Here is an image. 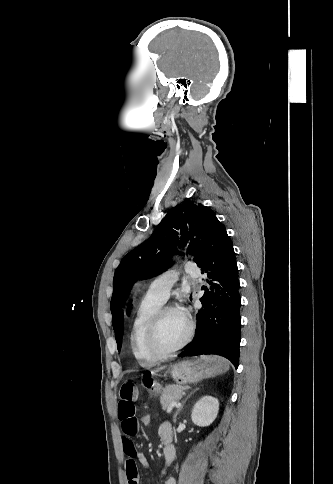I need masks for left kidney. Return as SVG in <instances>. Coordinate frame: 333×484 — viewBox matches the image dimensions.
I'll return each instance as SVG.
<instances>
[{"label":"left kidney","mask_w":333,"mask_h":484,"mask_svg":"<svg viewBox=\"0 0 333 484\" xmlns=\"http://www.w3.org/2000/svg\"><path fill=\"white\" fill-rule=\"evenodd\" d=\"M218 411V400L211 396H204L194 405L191 418L197 426H209L216 419Z\"/></svg>","instance_id":"1"}]
</instances>
